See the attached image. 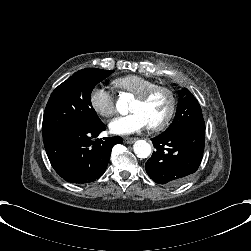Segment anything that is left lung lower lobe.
Masks as SVG:
<instances>
[{
    "label": "left lung lower lobe",
    "mask_w": 251,
    "mask_h": 251,
    "mask_svg": "<svg viewBox=\"0 0 251 251\" xmlns=\"http://www.w3.org/2000/svg\"><path fill=\"white\" fill-rule=\"evenodd\" d=\"M156 149L145 164L158 184L176 186L198 169L204 152L205 129L189 127L152 139Z\"/></svg>",
    "instance_id": "left-lung-lower-lobe-1"
}]
</instances>
